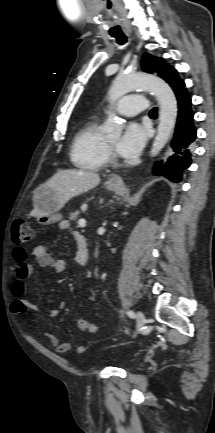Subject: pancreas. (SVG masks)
Instances as JSON below:
<instances>
[{"mask_svg": "<svg viewBox=\"0 0 215 433\" xmlns=\"http://www.w3.org/2000/svg\"><path fill=\"white\" fill-rule=\"evenodd\" d=\"M79 213H80L79 211H75L73 213H70L69 220L76 221L77 217L79 216Z\"/></svg>", "mask_w": 215, "mask_h": 433, "instance_id": "obj_1", "label": "pancreas"}]
</instances>
